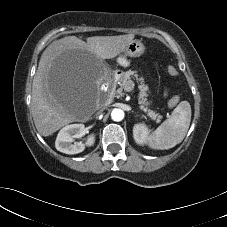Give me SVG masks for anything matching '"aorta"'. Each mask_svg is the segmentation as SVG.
Returning <instances> with one entry per match:
<instances>
[{
    "label": "aorta",
    "instance_id": "aorta-1",
    "mask_svg": "<svg viewBox=\"0 0 227 227\" xmlns=\"http://www.w3.org/2000/svg\"><path fill=\"white\" fill-rule=\"evenodd\" d=\"M111 118L113 121H116V122L122 121L124 118V111L121 109H117V108L114 109L111 112Z\"/></svg>",
    "mask_w": 227,
    "mask_h": 227
}]
</instances>
